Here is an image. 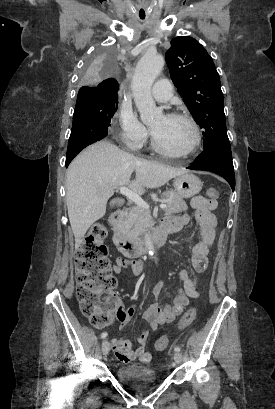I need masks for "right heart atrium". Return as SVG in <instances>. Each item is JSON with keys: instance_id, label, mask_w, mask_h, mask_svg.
I'll return each instance as SVG.
<instances>
[{"instance_id": "right-heart-atrium-1", "label": "right heart atrium", "mask_w": 275, "mask_h": 409, "mask_svg": "<svg viewBox=\"0 0 275 409\" xmlns=\"http://www.w3.org/2000/svg\"><path fill=\"white\" fill-rule=\"evenodd\" d=\"M114 123L117 126L116 140L118 143H126L127 150L136 151L146 141L147 128L129 106H119L114 115Z\"/></svg>"}]
</instances>
